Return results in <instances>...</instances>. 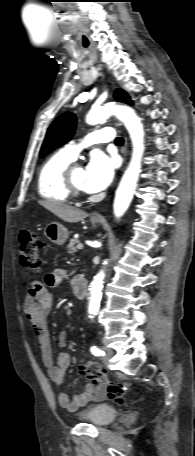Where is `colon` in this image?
<instances>
[{
    "mask_svg": "<svg viewBox=\"0 0 195 456\" xmlns=\"http://www.w3.org/2000/svg\"><path fill=\"white\" fill-rule=\"evenodd\" d=\"M43 243L35 233L23 231L19 236V252L21 264L35 272H39L43 267V260L40 256V249ZM80 372L97 383H105L107 375L104 368L96 362L88 361L79 367ZM127 387L123 384H108L107 396L119 404L125 403V393Z\"/></svg>",
    "mask_w": 195,
    "mask_h": 456,
    "instance_id": "obj_1",
    "label": "colon"
}]
</instances>
